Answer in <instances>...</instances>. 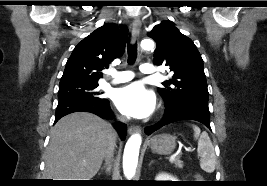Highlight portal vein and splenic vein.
Segmentation results:
<instances>
[{
	"label": "portal vein and splenic vein",
	"instance_id": "18ae733b",
	"mask_svg": "<svg viewBox=\"0 0 267 186\" xmlns=\"http://www.w3.org/2000/svg\"><path fill=\"white\" fill-rule=\"evenodd\" d=\"M176 157H177L176 154L172 155V156L170 157V161L172 162Z\"/></svg>",
	"mask_w": 267,
	"mask_h": 186
}]
</instances>
